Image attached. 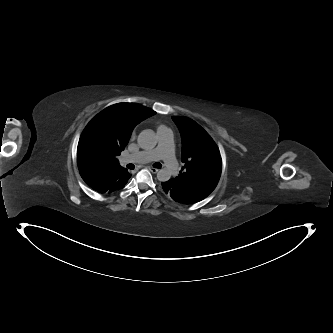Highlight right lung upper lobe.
<instances>
[{"mask_svg": "<svg viewBox=\"0 0 333 333\" xmlns=\"http://www.w3.org/2000/svg\"><path fill=\"white\" fill-rule=\"evenodd\" d=\"M100 113L107 116L109 122L116 126L119 145L126 146L134 127L156 112L136 103H118L107 107ZM125 171L127 169L122 168L118 160L107 161L95 169L96 175L101 179L109 175L119 176Z\"/></svg>", "mask_w": 333, "mask_h": 333, "instance_id": "right-lung-upper-lobe-1", "label": "right lung upper lobe"}]
</instances>
